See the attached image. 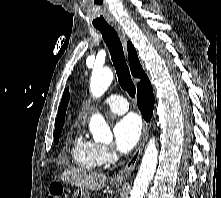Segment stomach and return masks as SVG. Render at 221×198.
<instances>
[{
  "label": "stomach",
  "mask_w": 221,
  "mask_h": 198,
  "mask_svg": "<svg viewBox=\"0 0 221 198\" xmlns=\"http://www.w3.org/2000/svg\"><path fill=\"white\" fill-rule=\"evenodd\" d=\"M116 185H119V184H116ZM72 198H90V193L86 189L78 188L74 192Z\"/></svg>",
  "instance_id": "obj_1"
}]
</instances>
